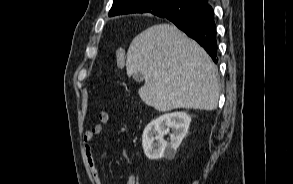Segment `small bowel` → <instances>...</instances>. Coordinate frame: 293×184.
Here are the masks:
<instances>
[{
    "instance_id": "obj_1",
    "label": "small bowel",
    "mask_w": 293,
    "mask_h": 184,
    "mask_svg": "<svg viewBox=\"0 0 293 184\" xmlns=\"http://www.w3.org/2000/svg\"><path fill=\"white\" fill-rule=\"evenodd\" d=\"M110 116L108 112L101 111L98 115V122L95 123L90 130H88L84 135V143H85V156L87 165L89 167L91 176L96 184H103L101 175L99 173L94 154H93V146L92 142L95 139L97 135H99L103 127L109 122ZM125 157L129 163V165H132L131 159L125 154ZM126 184H139V181L134 173H131L126 181Z\"/></svg>"
}]
</instances>
